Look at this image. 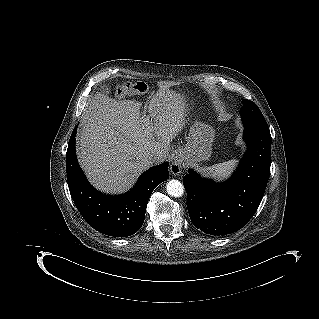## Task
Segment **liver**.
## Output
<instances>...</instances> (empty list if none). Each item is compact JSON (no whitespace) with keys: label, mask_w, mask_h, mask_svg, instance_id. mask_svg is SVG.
Masks as SVG:
<instances>
[{"label":"liver","mask_w":319,"mask_h":319,"mask_svg":"<svg viewBox=\"0 0 319 319\" xmlns=\"http://www.w3.org/2000/svg\"><path fill=\"white\" fill-rule=\"evenodd\" d=\"M170 86L161 84L145 106L151 121L141 117L142 104L134 100L117 101L97 92L88 103L76 150L80 166L97 189L125 192L151 166L150 155L167 158L169 144L185 125L188 112L185 96Z\"/></svg>","instance_id":"6515ba94"}]
</instances>
